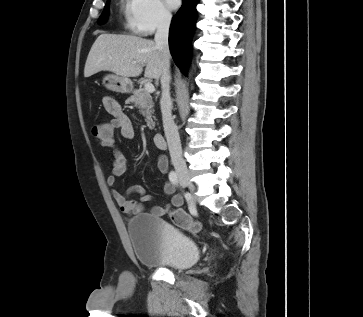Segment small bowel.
Masks as SVG:
<instances>
[{
    "instance_id": "c3829d8e",
    "label": "small bowel",
    "mask_w": 363,
    "mask_h": 317,
    "mask_svg": "<svg viewBox=\"0 0 363 317\" xmlns=\"http://www.w3.org/2000/svg\"><path fill=\"white\" fill-rule=\"evenodd\" d=\"M103 106L106 111L112 115V120L108 123H104L99 126V133L95 137L100 141L104 147L115 148L114 133L119 131L121 137L126 140L134 138V127L123 112L119 102L111 96L103 98ZM157 166L160 172L165 173L168 170V164L165 158H159ZM128 168V162L126 157L121 151L115 149L114 159L111 167V174L107 178V184L110 187H114L116 180L119 176L124 174ZM163 191L166 195H171V203L166 205H156L147 210L145 203L152 199V196L146 194L141 186H131L125 193L112 188L111 194L119 206L120 210L127 215L144 214L145 212L151 213L153 216H164L172 209L179 208L183 204V197L180 194L175 193L174 186L166 182L163 186ZM131 194L139 195V199L132 200L129 198Z\"/></svg>"
}]
</instances>
